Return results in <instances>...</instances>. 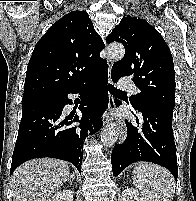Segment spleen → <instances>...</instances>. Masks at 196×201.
<instances>
[{
	"label": "spleen",
	"instance_id": "spleen-1",
	"mask_svg": "<svg viewBox=\"0 0 196 201\" xmlns=\"http://www.w3.org/2000/svg\"><path fill=\"white\" fill-rule=\"evenodd\" d=\"M133 184L145 201H172L174 178L168 170L153 164H140L133 169Z\"/></svg>",
	"mask_w": 196,
	"mask_h": 201
}]
</instances>
